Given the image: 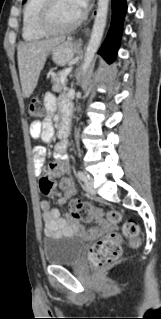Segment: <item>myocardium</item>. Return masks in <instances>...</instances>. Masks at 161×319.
Segmentation results:
<instances>
[{
    "mask_svg": "<svg viewBox=\"0 0 161 319\" xmlns=\"http://www.w3.org/2000/svg\"><path fill=\"white\" fill-rule=\"evenodd\" d=\"M57 0H43V3L40 7L38 17H37V26L45 34L49 35H60L72 32L75 30L83 21L85 14L81 11L79 16L69 25L65 27H56L52 23V13L55 7Z\"/></svg>",
    "mask_w": 161,
    "mask_h": 319,
    "instance_id": "f54148a6",
    "label": "myocardium"
}]
</instances>
